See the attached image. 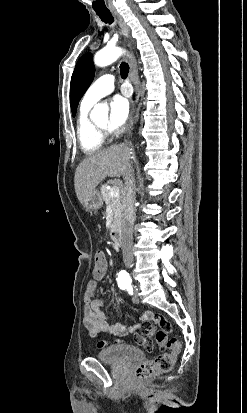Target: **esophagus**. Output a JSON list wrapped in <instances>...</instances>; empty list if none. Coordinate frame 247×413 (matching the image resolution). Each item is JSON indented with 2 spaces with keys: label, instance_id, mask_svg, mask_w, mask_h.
<instances>
[{
  "label": "esophagus",
  "instance_id": "esophagus-1",
  "mask_svg": "<svg viewBox=\"0 0 247 413\" xmlns=\"http://www.w3.org/2000/svg\"><path fill=\"white\" fill-rule=\"evenodd\" d=\"M112 15L116 18L121 28L122 33L125 35V37L128 38L130 30L127 24L125 23V21L123 20V18L121 17V15L115 11H112ZM129 47L131 48L130 43H129ZM129 66H130V78L132 82L134 83L135 88L138 90L139 89V75H138V66H137L136 60L135 59L131 60L129 63ZM136 118H137V114H136V101H135L134 103H132V106H131V113H130L127 130H126L127 138H129L132 134Z\"/></svg>",
  "mask_w": 247,
  "mask_h": 413
}]
</instances>
